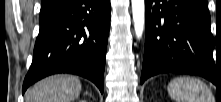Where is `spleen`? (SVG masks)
Returning <instances> with one entry per match:
<instances>
[{
  "label": "spleen",
  "mask_w": 221,
  "mask_h": 102,
  "mask_svg": "<svg viewBox=\"0 0 221 102\" xmlns=\"http://www.w3.org/2000/svg\"><path fill=\"white\" fill-rule=\"evenodd\" d=\"M168 94L176 102H211L212 93L199 79L183 76L168 84Z\"/></svg>",
  "instance_id": "spleen-1"
}]
</instances>
